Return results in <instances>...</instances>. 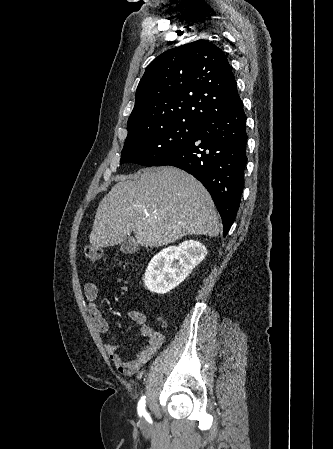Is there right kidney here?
Wrapping results in <instances>:
<instances>
[{
	"label": "right kidney",
	"mask_w": 333,
	"mask_h": 449,
	"mask_svg": "<svg viewBox=\"0 0 333 449\" xmlns=\"http://www.w3.org/2000/svg\"><path fill=\"white\" fill-rule=\"evenodd\" d=\"M199 241L189 240L161 250L145 272V287L152 293L165 294L177 287L206 256Z\"/></svg>",
	"instance_id": "obj_1"
}]
</instances>
